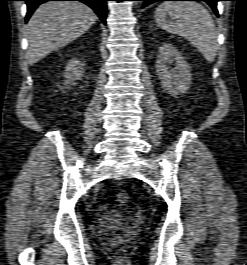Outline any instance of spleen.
I'll return each instance as SVG.
<instances>
[{"mask_svg":"<svg viewBox=\"0 0 247 265\" xmlns=\"http://www.w3.org/2000/svg\"><path fill=\"white\" fill-rule=\"evenodd\" d=\"M169 14L171 20L166 19ZM155 20L165 31L188 40L205 59L215 60L218 40L214 21L205 7L194 1H166L155 11Z\"/></svg>","mask_w":247,"mask_h":265,"instance_id":"obj_1","label":"spleen"}]
</instances>
